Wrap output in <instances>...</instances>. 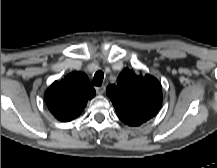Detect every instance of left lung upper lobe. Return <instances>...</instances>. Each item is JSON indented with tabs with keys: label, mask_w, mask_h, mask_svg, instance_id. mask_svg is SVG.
Listing matches in <instances>:
<instances>
[{
	"label": "left lung upper lobe",
	"mask_w": 217,
	"mask_h": 168,
	"mask_svg": "<svg viewBox=\"0 0 217 168\" xmlns=\"http://www.w3.org/2000/svg\"><path fill=\"white\" fill-rule=\"evenodd\" d=\"M119 119L129 126H139L154 117L162 103V86L150 76L135 74L125 68L117 84L107 87Z\"/></svg>",
	"instance_id": "1"
}]
</instances>
